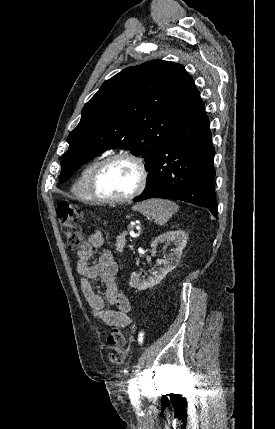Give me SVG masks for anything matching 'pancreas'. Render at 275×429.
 Returning <instances> with one entry per match:
<instances>
[{
    "instance_id": "obj_1",
    "label": "pancreas",
    "mask_w": 275,
    "mask_h": 429,
    "mask_svg": "<svg viewBox=\"0 0 275 429\" xmlns=\"http://www.w3.org/2000/svg\"><path fill=\"white\" fill-rule=\"evenodd\" d=\"M128 233L125 231V232H123L122 234H120L117 238H116V244H115V246H116V250L117 251H119V252H123V249H124V247H125V244H126V239H125V237H126V235H127Z\"/></svg>"
}]
</instances>
